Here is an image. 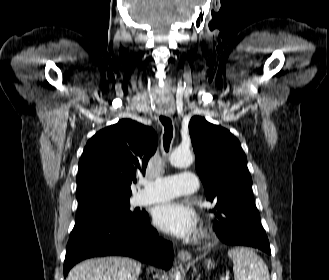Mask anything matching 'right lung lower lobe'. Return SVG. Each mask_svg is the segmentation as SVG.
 Here are the masks:
<instances>
[{
	"label": "right lung lower lobe",
	"mask_w": 329,
	"mask_h": 280,
	"mask_svg": "<svg viewBox=\"0 0 329 280\" xmlns=\"http://www.w3.org/2000/svg\"><path fill=\"white\" fill-rule=\"evenodd\" d=\"M121 255L169 269L172 244L158 237L149 216L130 222L113 215H96L75 224L66 248L64 277L78 262L96 256Z\"/></svg>",
	"instance_id": "obj_1"
}]
</instances>
